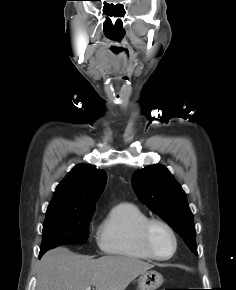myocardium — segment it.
Masks as SVG:
<instances>
[{
	"label": "myocardium",
	"mask_w": 236,
	"mask_h": 290,
	"mask_svg": "<svg viewBox=\"0 0 236 290\" xmlns=\"http://www.w3.org/2000/svg\"><path fill=\"white\" fill-rule=\"evenodd\" d=\"M161 226L164 228L171 236L173 240V250L168 256H160L158 255L152 247L151 244V231L153 227ZM139 237L141 245L144 251L154 260L165 261L171 259L177 252L178 249V238L174 229L164 220L157 218H148L140 227Z\"/></svg>",
	"instance_id": "myocardium-1"
}]
</instances>
